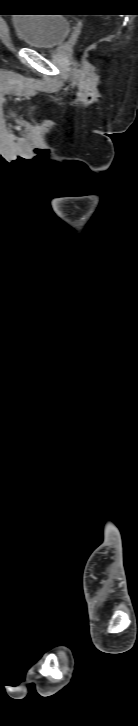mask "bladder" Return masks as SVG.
<instances>
[{
  "mask_svg": "<svg viewBox=\"0 0 138 726\" xmlns=\"http://www.w3.org/2000/svg\"><path fill=\"white\" fill-rule=\"evenodd\" d=\"M59 14H21L12 24L23 45L50 49L62 44L71 31V22Z\"/></svg>",
  "mask_w": 138,
  "mask_h": 726,
  "instance_id": "bladder-1",
  "label": "bladder"
}]
</instances>
